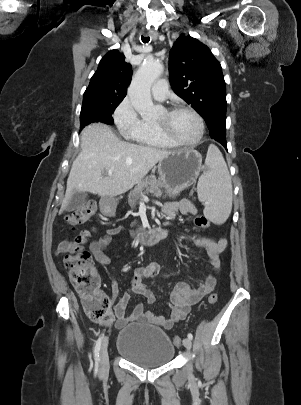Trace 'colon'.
Segmentation results:
<instances>
[{
  "mask_svg": "<svg viewBox=\"0 0 301 405\" xmlns=\"http://www.w3.org/2000/svg\"><path fill=\"white\" fill-rule=\"evenodd\" d=\"M96 206L93 202H87L77 208L66 217V221L71 226H76L87 221L94 215ZM195 224L199 228H207L209 221L200 216L195 219ZM88 231H81L72 241V246L66 251L64 264L68 270L70 281L83 299L84 307L89 318L96 323L105 324L112 320V311L109 301L99 287V277L95 271L90 253L83 247ZM218 300L217 293H212L208 297L210 304H215ZM182 339L179 336L173 337V343L180 346Z\"/></svg>",
  "mask_w": 301,
  "mask_h": 405,
  "instance_id": "colon-1",
  "label": "colon"
}]
</instances>
